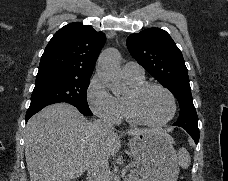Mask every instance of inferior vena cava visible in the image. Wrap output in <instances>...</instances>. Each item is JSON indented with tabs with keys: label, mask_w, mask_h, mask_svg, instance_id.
Instances as JSON below:
<instances>
[{
	"label": "inferior vena cava",
	"mask_w": 228,
	"mask_h": 181,
	"mask_svg": "<svg viewBox=\"0 0 228 181\" xmlns=\"http://www.w3.org/2000/svg\"><path fill=\"white\" fill-rule=\"evenodd\" d=\"M95 129H99V133H113L114 131L112 123H108L106 119H99L90 125L89 135H93ZM87 181H110L108 157H102L96 151L91 153L88 161Z\"/></svg>",
	"instance_id": "obj_1"
}]
</instances>
